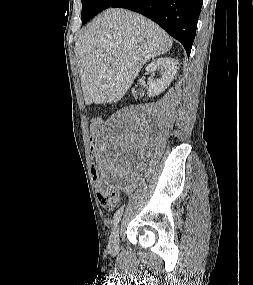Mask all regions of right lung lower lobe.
Segmentation results:
<instances>
[{"label": "right lung lower lobe", "mask_w": 253, "mask_h": 285, "mask_svg": "<svg viewBox=\"0 0 253 285\" xmlns=\"http://www.w3.org/2000/svg\"><path fill=\"white\" fill-rule=\"evenodd\" d=\"M203 0H117L111 7L138 12L158 23L190 55Z\"/></svg>", "instance_id": "1"}]
</instances>
